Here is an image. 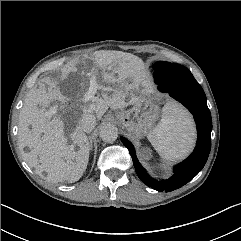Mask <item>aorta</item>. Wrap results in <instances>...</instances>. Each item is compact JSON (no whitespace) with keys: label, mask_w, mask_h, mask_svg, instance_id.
I'll return each mask as SVG.
<instances>
[{"label":"aorta","mask_w":241,"mask_h":241,"mask_svg":"<svg viewBox=\"0 0 241 241\" xmlns=\"http://www.w3.org/2000/svg\"><path fill=\"white\" fill-rule=\"evenodd\" d=\"M118 137V128L111 123L103 124L100 129V138L107 143L114 142Z\"/></svg>","instance_id":"aorta-1"}]
</instances>
